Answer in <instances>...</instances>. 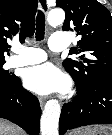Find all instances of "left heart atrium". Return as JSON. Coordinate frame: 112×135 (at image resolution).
Instances as JSON below:
<instances>
[{"label": "left heart atrium", "instance_id": "39dd6f15", "mask_svg": "<svg viewBox=\"0 0 112 135\" xmlns=\"http://www.w3.org/2000/svg\"><path fill=\"white\" fill-rule=\"evenodd\" d=\"M24 86L40 95L65 92L69 82L52 64L45 63L27 68L23 72Z\"/></svg>", "mask_w": 112, "mask_h": 135}]
</instances>
